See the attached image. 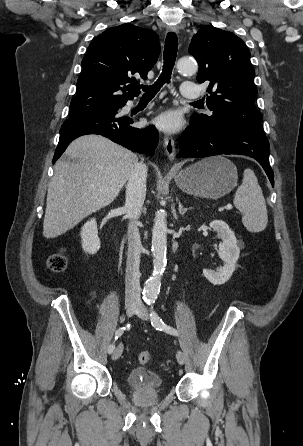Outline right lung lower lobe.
Segmentation results:
<instances>
[{
	"instance_id": "right-lung-lower-lobe-1",
	"label": "right lung lower lobe",
	"mask_w": 303,
	"mask_h": 446,
	"mask_svg": "<svg viewBox=\"0 0 303 446\" xmlns=\"http://www.w3.org/2000/svg\"><path fill=\"white\" fill-rule=\"evenodd\" d=\"M132 123V117H122L118 111L94 110L69 116L61 126L53 163L71 141L85 134H100L133 152L153 155L158 144L157 130L153 127L134 128Z\"/></svg>"
}]
</instances>
